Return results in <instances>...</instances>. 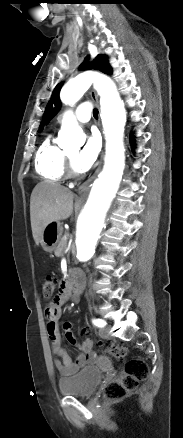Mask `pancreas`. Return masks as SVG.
Here are the masks:
<instances>
[{
	"label": "pancreas",
	"instance_id": "pancreas-1",
	"mask_svg": "<svg viewBox=\"0 0 183 438\" xmlns=\"http://www.w3.org/2000/svg\"><path fill=\"white\" fill-rule=\"evenodd\" d=\"M66 247H67V237L65 235L60 239V241L55 249V255L57 257H63Z\"/></svg>",
	"mask_w": 183,
	"mask_h": 438
}]
</instances>
